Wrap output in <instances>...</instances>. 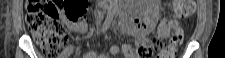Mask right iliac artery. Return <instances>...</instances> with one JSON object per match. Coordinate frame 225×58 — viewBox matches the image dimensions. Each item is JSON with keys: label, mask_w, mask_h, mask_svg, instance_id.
Masks as SVG:
<instances>
[{"label": "right iliac artery", "mask_w": 225, "mask_h": 58, "mask_svg": "<svg viewBox=\"0 0 225 58\" xmlns=\"http://www.w3.org/2000/svg\"><path fill=\"white\" fill-rule=\"evenodd\" d=\"M112 23V17H107L105 22L103 23V26H102V29H101V32L104 33L105 31H107V29L110 27Z\"/></svg>", "instance_id": "obj_1"}]
</instances>
